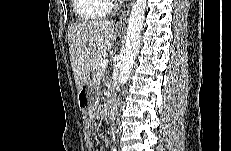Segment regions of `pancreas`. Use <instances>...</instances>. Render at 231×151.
Listing matches in <instances>:
<instances>
[{"label":"pancreas","mask_w":231,"mask_h":151,"mask_svg":"<svg viewBox=\"0 0 231 151\" xmlns=\"http://www.w3.org/2000/svg\"><path fill=\"white\" fill-rule=\"evenodd\" d=\"M93 80L98 83L102 80V77L104 76L105 74V68H102L101 67V60L99 59L96 64L94 65V68H93Z\"/></svg>","instance_id":"cf45deb5"}]
</instances>
